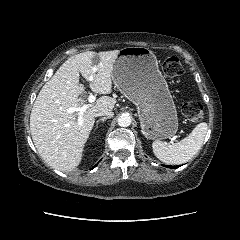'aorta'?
<instances>
[{
	"label": "aorta",
	"instance_id": "762f6f07",
	"mask_svg": "<svg viewBox=\"0 0 240 240\" xmlns=\"http://www.w3.org/2000/svg\"><path fill=\"white\" fill-rule=\"evenodd\" d=\"M117 122L121 127H128L131 124V117L128 114H123L118 118Z\"/></svg>",
	"mask_w": 240,
	"mask_h": 240
}]
</instances>
